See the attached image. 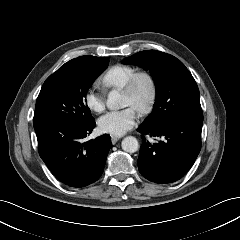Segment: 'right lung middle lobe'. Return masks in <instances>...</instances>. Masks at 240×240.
<instances>
[{
  "mask_svg": "<svg viewBox=\"0 0 240 240\" xmlns=\"http://www.w3.org/2000/svg\"><path fill=\"white\" fill-rule=\"evenodd\" d=\"M108 59L50 75L37 98L34 120H60L77 125L94 121L86 105V94L94 80L107 68Z\"/></svg>",
  "mask_w": 240,
  "mask_h": 240,
  "instance_id": "dd1d6c3e",
  "label": "right lung middle lobe"
}]
</instances>
